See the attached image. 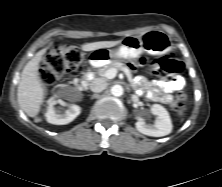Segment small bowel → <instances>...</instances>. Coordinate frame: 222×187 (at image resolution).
I'll return each mask as SVG.
<instances>
[{
  "label": "small bowel",
  "instance_id": "c3829d8e",
  "mask_svg": "<svg viewBox=\"0 0 222 187\" xmlns=\"http://www.w3.org/2000/svg\"><path fill=\"white\" fill-rule=\"evenodd\" d=\"M136 85L140 89H147L146 96L153 102L170 104L173 100V93L184 87V80L174 77L166 81L149 82L145 78H139Z\"/></svg>",
  "mask_w": 222,
  "mask_h": 187
}]
</instances>
